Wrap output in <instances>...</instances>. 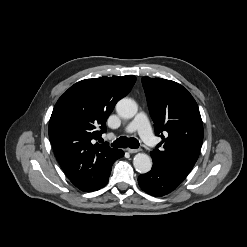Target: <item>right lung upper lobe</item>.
<instances>
[{
  "label": "right lung upper lobe",
  "instance_id": "right-lung-upper-lobe-1",
  "mask_svg": "<svg viewBox=\"0 0 247 247\" xmlns=\"http://www.w3.org/2000/svg\"><path fill=\"white\" fill-rule=\"evenodd\" d=\"M136 81L133 75L85 79L57 101L49 139L69 180L80 190H94L109 174L119 149L93 144L106 131V120Z\"/></svg>",
  "mask_w": 247,
  "mask_h": 247
}]
</instances>
